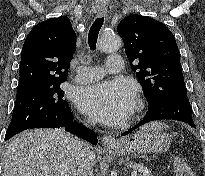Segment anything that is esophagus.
Returning a JSON list of instances; mask_svg holds the SVG:
<instances>
[{
  "label": "esophagus",
  "mask_w": 205,
  "mask_h": 176,
  "mask_svg": "<svg viewBox=\"0 0 205 176\" xmlns=\"http://www.w3.org/2000/svg\"><path fill=\"white\" fill-rule=\"evenodd\" d=\"M106 11L107 10H106L105 7L99 8L98 9V15L103 16V15L106 14ZM101 144L105 148H110V147H115L117 145V142H116V140L114 139V137L112 135H104L101 138Z\"/></svg>",
  "instance_id": "esophagus-1"
}]
</instances>
